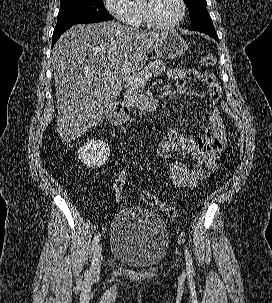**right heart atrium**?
<instances>
[{"label":"right heart atrium","instance_id":"right-heart-atrium-1","mask_svg":"<svg viewBox=\"0 0 272 303\" xmlns=\"http://www.w3.org/2000/svg\"><path fill=\"white\" fill-rule=\"evenodd\" d=\"M104 5L116 19L129 23L131 0H104Z\"/></svg>","mask_w":272,"mask_h":303}]
</instances>
